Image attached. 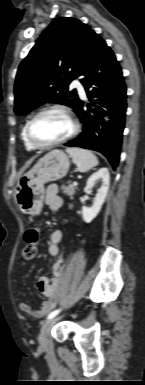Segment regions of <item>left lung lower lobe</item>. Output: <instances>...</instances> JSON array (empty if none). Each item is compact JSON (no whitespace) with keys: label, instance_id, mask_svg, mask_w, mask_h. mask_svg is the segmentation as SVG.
Instances as JSON below:
<instances>
[{"label":"left lung lower lobe","instance_id":"left-lung-lower-lobe-1","mask_svg":"<svg viewBox=\"0 0 145 385\" xmlns=\"http://www.w3.org/2000/svg\"><path fill=\"white\" fill-rule=\"evenodd\" d=\"M79 76L84 77L80 81L93 107L84 110V103L80 102L75 112L83 123V132L65 146L101 152L115 168L119 162L125 124L126 85L114 53L96 33ZM102 107L108 108L112 119L109 125L102 117L105 114Z\"/></svg>","mask_w":145,"mask_h":385}]
</instances>
